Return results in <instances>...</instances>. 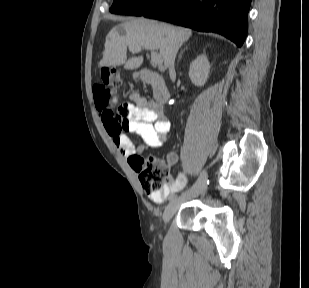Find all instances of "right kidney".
I'll use <instances>...</instances> for the list:
<instances>
[{
    "instance_id": "right-kidney-1",
    "label": "right kidney",
    "mask_w": 309,
    "mask_h": 288,
    "mask_svg": "<svg viewBox=\"0 0 309 288\" xmlns=\"http://www.w3.org/2000/svg\"><path fill=\"white\" fill-rule=\"evenodd\" d=\"M210 71V64L206 55L198 56L190 65L189 78L195 86H203Z\"/></svg>"
}]
</instances>
